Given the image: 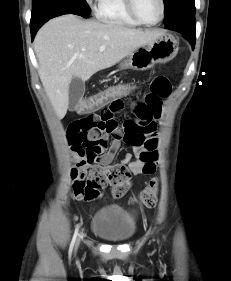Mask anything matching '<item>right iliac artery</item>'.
<instances>
[{
    "label": "right iliac artery",
    "mask_w": 231,
    "mask_h": 281,
    "mask_svg": "<svg viewBox=\"0 0 231 281\" xmlns=\"http://www.w3.org/2000/svg\"><path fill=\"white\" fill-rule=\"evenodd\" d=\"M79 227H80V226L77 225V227H76V229H75V232H74V235H73L71 244H70V248H69V255L72 254V250H73V248H74V245H75V242H76V239H77V236H78Z\"/></svg>",
    "instance_id": "obj_1"
}]
</instances>
